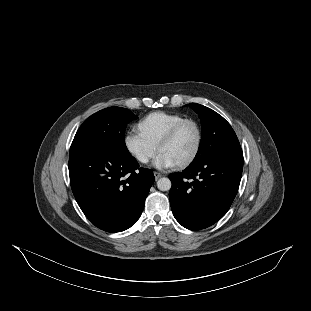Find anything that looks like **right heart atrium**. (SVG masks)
Listing matches in <instances>:
<instances>
[{
	"instance_id": "1",
	"label": "right heart atrium",
	"mask_w": 311,
	"mask_h": 311,
	"mask_svg": "<svg viewBox=\"0 0 311 311\" xmlns=\"http://www.w3.org/2000/svg\"><path fill=\"white\" fill-rule=\"evenodd\" d=\"M123 143L128 155L139 165H146L157 152V148L150 145L135 129L126 133Z\"/></svg>"
}]
</instances>
